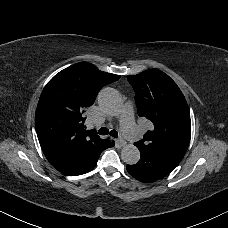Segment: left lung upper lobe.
<instances>
[{
	"label": "left lung upper lobe",
	"mask_w": 228,
	"mask_h": 228,
	"mask_svg": "<svg viewBox=\"0 0 228 228\" xmlns=\"http://www.w3.org/2000/svg\"><path fill=\"white\" fill-rule=\"evenodd\" d=\"M127 79L135 91L138 115L153 124L135 145L182 160L190 142L191 120L177 84L158 69L129 75Z\"/></svg>",
	"instance_id": "obj_1"
}]
</instances>
